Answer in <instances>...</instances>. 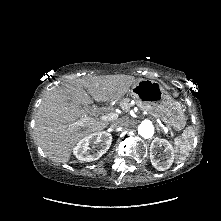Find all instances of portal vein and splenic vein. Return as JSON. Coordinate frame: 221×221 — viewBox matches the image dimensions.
<instances>
[{
	"instance_id": "portal-vein-and-splenic-vein-1",
	"label": "portal vein and splenic vein",
	"mask_w": 221,
	"mask_h": 221,
	"mask_svg": "<svg viewBox=\"0 0 221 221\" xmlns=\"http://www.w3.org/2000/svg\"><path fill=\"white\" fill-rule=\"evenodd\" d=\"M118 118V114L117 113H115V112H111V113H108V114H106V115H102V116H100V119L101 120H104V121H113V120H115V119H117ZM87 119H89V117H86V116H84V117H82L79 121H78V125H81L85 120H87ZM164 131L165 132H168V129L165 127L164 128ZM172 135V134H171Z\"/></svg>"
}]
</instances>
